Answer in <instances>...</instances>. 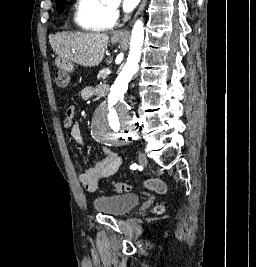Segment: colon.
I'll return each instance as SVG.
<instances>
[{"mask_svg":"<svg viewBox=\"0 0 256 267\" xmlns=\"http://www.w3.org/2000/svg\"><path fill=\"white\" fill-rule=\"evenodd\" d=\"M55 82H56V85L60 88L68 87L70 84V73H63V71H58V69H56ZM143 186L147 190H151L155 192H166L167 190L166 184L162 180L157 179V178L146 179L143 182ZM131 188H132L131 184L126 183V182L113 183V189L116 192H120V193L129 192ZM154 210L157 212L163 211L164 204H156L154 206Z\"/></svg>","mask_w":256,"mask_h":267,"instance_id":"obj_1","label":"colon"}]
</instances>
